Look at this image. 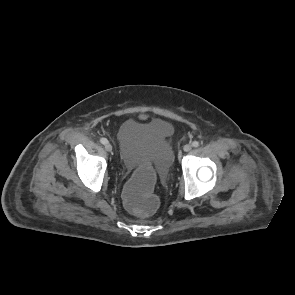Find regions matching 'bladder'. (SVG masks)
Here are the masks:
<instances>
[{
  "mask_svg": "<svg viewBox=\"0 0 295 295\" xmlns=\"http://www.w3.org/2000/svg\"><path fill=\"white\" fill-rule=\"evenodd\" d=\"M173 134L170 122L158 117L144 120L128 119L119 128L117 138L126 157L123 164L132 169L136 165L151 167L160 177H168L172 159L169 138Z\"/></svg>",
  "mask_w": 295,
  "mask_h": 295,
  "instance_id": "obj_1",
  "label": "bladder"
}]
</instances>
